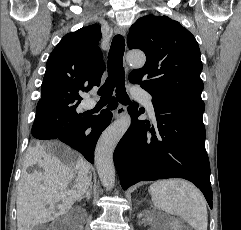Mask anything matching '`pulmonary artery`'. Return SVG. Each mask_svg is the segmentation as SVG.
I'll list each match as a JSON object with an SVG mask.
<instances>
[{"mask_svg": "<svg viewBox=\"0 0 241 230\" xmlns=\"http://www.w3.org/2000/svg\"><path fill=\"white\" fill-rule=\"evenodd\" d=\"M134 96L145 105L150 117L154 119L155 113L152 103V96L140 88H135ZM95 105L96 102L93 99H89L84 103L85 108H93Z\"/></svg>", "mask_w": 241, "mask_h": 230, "instance_id": "pulmonary-artery-1", "label": "pulmonary artery"}]
</instances>
